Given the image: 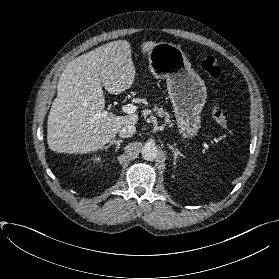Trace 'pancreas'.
Returning <instances> with one entry per match:
<instances>
[{"mask_svg": "<svg viewBox=\"0 0 279 279\" xmlns=\"http://www.w3.org/2000/svg\"><path fill=\"white\" fill-rule=\"evenodd\" d=\"M153 111L155 112V114L159 117H164L165 118V122L167 124H169L170 127H173V123L172 121L170 120V114L165 111L162 107H158V106H155L153 108Z\"/></svg>", "mask_w": 279, "mask_h": 279, "instance_id": "1", "label": "pancreas"}]
</instances>
